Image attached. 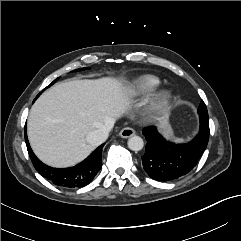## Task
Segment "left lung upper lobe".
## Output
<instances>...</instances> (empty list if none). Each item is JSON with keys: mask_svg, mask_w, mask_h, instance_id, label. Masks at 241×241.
Segmentation results:
<instances>
[{"mask_svg": "<svg viewBox=\"0 0 241 241\" xmlns=\"http://www.w3.org/2000/svg\"><path fill=\"white\" fill-rule=\"evenodd\" d=\"M198 114L200 117V124H206L207 127H209L208 112H207L206 105L203 101H201L199 105Z\"/></svg>", "mask_w": 241, "mask_h": 241, "instance_id": "1", "label": "left lung upper lobe"}]
</instances>
